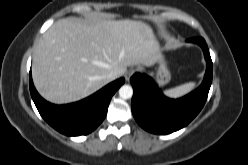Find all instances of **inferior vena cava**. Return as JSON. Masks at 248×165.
<instances>
[{
    "label": "inferior vena cava",
    "mask_w": 248,
    "mask_h": 165,
    "mask_svg": "<svg viewBox=\"0 0 248 165\" xmlns=\"http://www.w3.org/2000/svg\"><path fill=\"white\" fill-rule=\"evenodd\" d=\"M121 76V73L119 71H111L108 75H107V78L110 80V81H113L115 79H117L118 77Z\"/></svg>",
    "instance_id": "602c4592"
}]
</instances>
